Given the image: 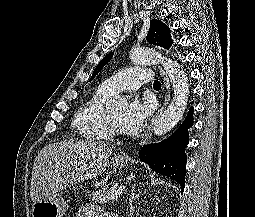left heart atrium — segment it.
<instances>
[{
    "instance_id": "39dd6f15",
    "label": "left heart atrium",
    "mask_w": 255,
    "mask_h": 217,
    "mask_svg": "<svg viewBox=\"0 0 255 217\" xmlns=\"http://www.w3.org/2000/svg\"><path fill=\"white\" fill-rule=\"evenodd\" d=\"M151 112L152 105L149 101L133 99L121 120L120 130L128 135L139 133L145 126Z\"/></svg>"
}]
</instances>
